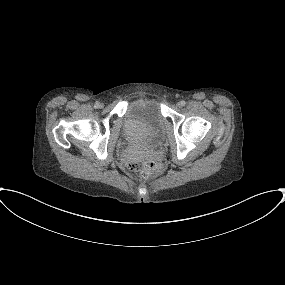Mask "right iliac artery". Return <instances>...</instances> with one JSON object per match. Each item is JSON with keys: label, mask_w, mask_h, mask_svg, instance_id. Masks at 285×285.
Listing matches in <instances>:
<instances>
[{"label": "right iliac artery", "mask_w": 285, "mask_h": 285, "mask_svg": "<svg viewBox=\"0 0 285 285\" xmlns=\"http://www.w3.org/2000/svg\"><path fill=\"white\" fill-rule=\"evenodd\" d=\"M98 105H99V102H96L95 103V107L98 108Z\"/></svg>", "instance_id": "1"}]
</instances>
